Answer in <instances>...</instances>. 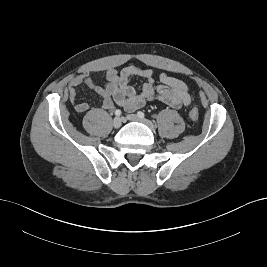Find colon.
<instances>
[{
  "label": "colon",
  "instance_id": "obj_1",
  "mask_svg": "<svg viewBox=\"0 0 267 267\" xmlns=\"http://www.w3.org/2000/svg\"><path fill=\"white\" fill-rule=\"evenodd\" d=\"M189 117L193 121H197L199 119V112L196 107H191L189 110Z\"/></svg>",
  "mask_w": 267,
  "mask_h": 267
}]
</instances>
